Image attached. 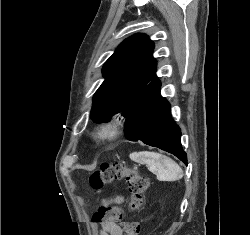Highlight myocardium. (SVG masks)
Segmentation results:
<instances>
[{
    "label": "myocardium",
    "instance_id": "myocardium-1",
    "mask_svg": "<svg viewBox=\"0 0 250 235\" xmlns=\"http://www.w3.org/2000/svg\"><path fill=\"white\" fill-rule=\"evenodd\" d=\"M120 132V121L116 118L101 121L94 132L98 141L106 142L114 140Z\"/></svg>",
    "mask_w": 250,
    "mask_h": 235
}]
</instances>
